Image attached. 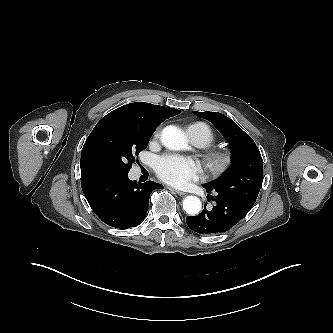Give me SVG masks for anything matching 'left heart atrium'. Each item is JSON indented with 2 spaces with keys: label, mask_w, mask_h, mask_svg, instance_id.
Returning <instances> with one entry per match:
<instances>
[{
  "label": "left heart atrium",
  "mask_w": 333,
  "mask_h": 333,
  "mask_svg": "<svg viewBox=\"0 0 333 333\" xmlns=\"http://www.w3.org/2000/svg\"><path fill=\"white\" fill-rule=\"evenodd\" d=\"M155 170L161 180L177 187L187 185L199 173L198 166L192 159L178 155L158 158Z\"/></svg>",
  "instance_id": "39dd6f15"
}]
</instances>
